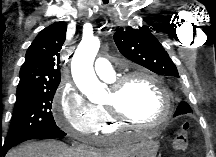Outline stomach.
I'll return each mask as SVG.
<instances>
[{
	"mask_svg": "<svg viewBox=\"0 0 216 157\" xmlns=\"http://www.w3.org/2000/svg\"><path fill=\"white\" fill-rule=\"evenodd\" d=\"M158 147V142L146 140L142 143L141 148L135 157H156Z\"/></svg>",
	"mask_w": 216,
	"mask_h": 157,
	"instance_id": "0dacf381",
	"label": "stomach"
}]
</instances>
